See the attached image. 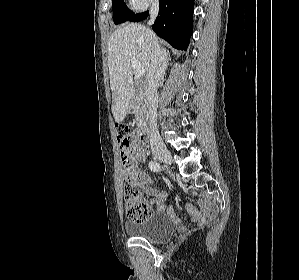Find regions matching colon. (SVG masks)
Masks as SVG:
<instances>
[{
    "label": "colon",
    "instance_id": "5ec220e1",
    "mask_svg": "<svg viewBox=\"0 0 299 280\" xmlns=\"http://www.w3.org/2000/svg\"><path fill=\"white\" fill-rule=\"evenodd\" d=\"M116 133L123 166L126 216L131 221L141 222L152 214V210L149 205L141 199L140 187L132 183L128 176V150L134 139L133 129L129 125L120 124L116 126Z\"/></svg>",
    "mask_w": 299,
    "mask_h": 280
}]
</instances>
